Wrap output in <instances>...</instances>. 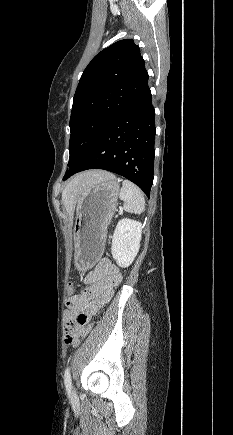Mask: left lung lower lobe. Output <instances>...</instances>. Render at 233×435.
<instances>
[{"mask_svg": "<svg viewBox=\"0 0 233 435\" xmlns=\"http://www.w3.org/2000/svg\"><path fill=\"white\" fill-rule=\"evenodd\" d=\"M155 114L149 87L104 131L86 157L65 174L104 169L129 179L149 197L153 183Z\"/></svg>", "mask_w": 233, "mask_h": 435, "instance_id": "left-lung-lower-lobe-1", "label": "left lung lower lobe"}]
</instances>
